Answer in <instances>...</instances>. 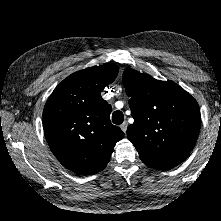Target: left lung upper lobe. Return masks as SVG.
Segmentation results:
<instances>
[{
    "mask_svg": "<svg viewBox=\"0 0 221 221\" xmlns=\"http://www.w3.org/2000/svg\"><path fill=\"white\" fill-rule=\"evenodd\" d=\"M123 83L134 118L127 137L142 162L163 169L183 162L199 135L196 100L173 81H160L131 68L124 70Z\"/></svg>",
    "mask_w": 221,
    "mask_h": 221,
    "instance_id": "obj_1",
    "label": "left lung upper lobe"
}]
</instances>
